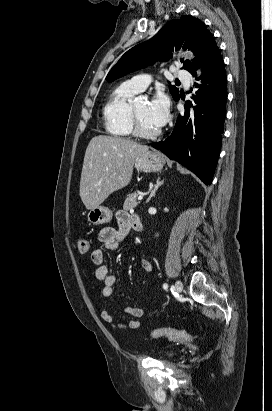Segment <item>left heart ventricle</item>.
Here are the masks:
<instances>
[{
    "mask_svg": "<svg viewBox=\"0 0 272 411\" xmlns=\"http://www.w3.org/2000/svg\"><path fill=\"white\" fill-rule=\"evenodd\" d=\"M141 127L147 131H154L158 128L151 123L147 115L148 103L145 100L133 104Z\"/></svg>",
    "mask_w": 272,
    "mask_h": 411,
    "instance_id": "b2bd125f",
    "label": "left heart ventricle"
}]
</instances>
